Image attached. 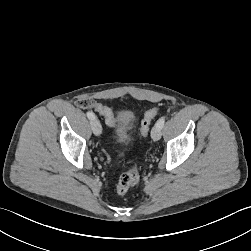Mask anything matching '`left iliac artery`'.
<instances>
[{
    "label": "left iliac artery",
    "mask_w": 251,
    "mask_h": 251,
    "mask_svg": "<svg viewBox=\"0 0 251 251\" xmlns=\"http://www.w3.org/2000/svg\"><path fill=\"white\" fill-rule=\"evenodd\" d=\"M164 123H165V117H162V118H160V119L157 121V124H156V125H157L159 128H163Z\"/></svg>",
    "instance_id": "44dca946"
}]
</instances>
